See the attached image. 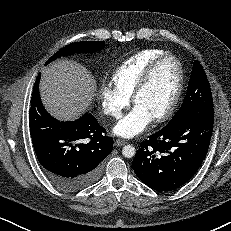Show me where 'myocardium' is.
I'll use <instances>...</instances> for the list:
<instances>
[{
  "mask_svg": "<svg viewBox=\"0 0 231 231\" xmlns=\"http://www.w3.org/2000/svg\"><path fill=\"white\" fill-rule=\"evenodd\" d=\"M167 59L174 60V62L176 63L177 69H178V80H177V85H176L174 94L172 96V99H171L168 107L165 109L164 112H162L160 115H158L157 117H155L153 119L154 122H157V123L163 122L173 115V113L175 112V109L178 105V102L180 100V97L182 95L183 87H184V69H183L181 61L175 55H172L169 53H165V54L155 58L152 62H150V64L147 66V68L143 72V74H142L137 86L135 87L133 94H132V102L135 105L138 97L140 96V94L144 91V89L149 84V82L152 78V75H153L154 71L156 70L157 66L161 62H163Z\"/></svg>",
  "mask_w": 231,
  "mask_h": 231,
  "instance_id": "obj_1",
  "label": "myocardium"
}]
</instances>
